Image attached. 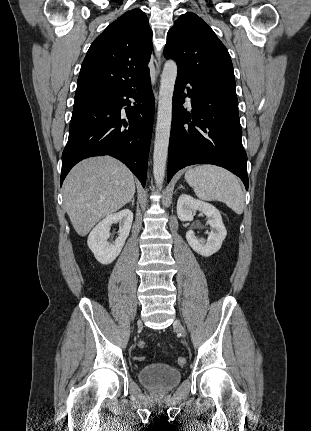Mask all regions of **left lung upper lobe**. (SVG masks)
<instances>
[{
	"label": "left lung upper lobe",
	"mask_w": 311,
	"mask_h": 431,
	"mask_svg": "<svg viewBox=\"0 0 311 431\" xmlns=\"http://www.w3.org/2000/svg\"><path fill=\"white\" fill-rule=\"evenodd\" d=\"M164 56L178 73L198 82L235 88L228 50L205 21L192 12L181 15L167 34Z\"/></svg>",
	"instance_id": "obj_1"
}]
</instances>
